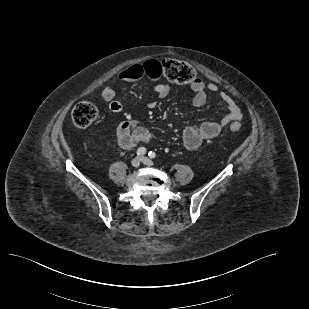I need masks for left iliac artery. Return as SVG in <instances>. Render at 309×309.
<instances>
[{"instance_id":"obj_1","label":"left iliac artery","mask_w":309,"mask_h":309,"mask_svg":"<svg viewBox=\"0 0 309 309\" xmlns=\"http://www.w3.org/2000/svg\"><path fill=\"white\" fill-rule=\"evenodd\" d=\"M148 156H149L150 158L154 159V158L156 157V153L150 151V152L148 153Z\"/></svg>"}]
</instances>
